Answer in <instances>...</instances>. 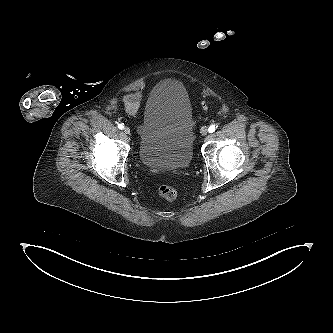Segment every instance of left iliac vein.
<instances>
[{
    "label": "left iliac vein",
    "mask_w": 333,
    "mask_h": 333,
    "mask_svg": "<svg viewBox=\"0 0 333 333\" xmlns=\"http://www.w3.org/2000/svg\"><path fill=\"white\" fill-rule=\"evenodd\" d=\"M200 133L205 136L208 133V128L206 126L201 127Z\"/></svg>",
    "instance_id": "1"
}]
</instances>
